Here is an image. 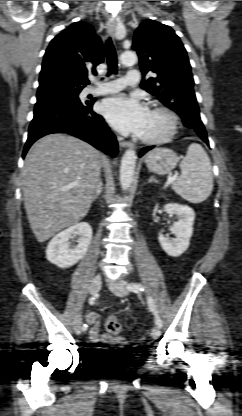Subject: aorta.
I'll list each match as a JSON object with an SVG mask.
<instances>
[{
    "mask_svg": "<svg viewBox=\"0 0 242 416\" xmlns=\"http://www.w3.org/2000/svg\"><path fill=\"white\" fill-rule=\"evenodd\" d=\"M120 61L124 65H131L137 61V56L135 52L126 51L121 54ZM136 159V152L133 149H128L122 157L120 165V185L124 191H128L132 185Z\"/></svg>",
    "mask_w": 242,
    "mask_h": 416,
    "instance_id": "aorta-1",
    "label": "aorta"
}]
</instances>
